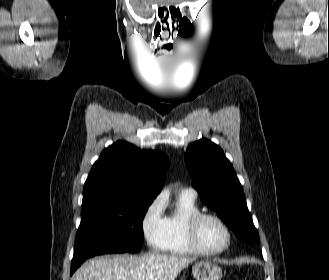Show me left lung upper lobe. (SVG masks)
<instances>
[{
	"label": "left lung upper lobe",
	"mask_w": 329,
	"mask_h": 280,
	"mask_svg": "<svg viewBox=\"0 0 329 280\" xmlns=\"http://www.w3.org/2000/svg\"><path fill=\"white\" fill-rule=\"evenodd\" d=\"M185 163L202 201L224 219L240 239L259 243L243 188L219 146L207 139L192 143Z\"/></svg>",
	"instance_id": "obj_1"
}]
</instances>
